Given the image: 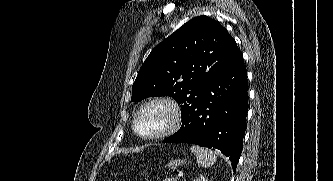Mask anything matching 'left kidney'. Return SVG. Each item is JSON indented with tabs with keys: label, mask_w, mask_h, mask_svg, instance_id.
Listing matches in <instances>:
<instances>
[{
	"label": "left kidney",
	"mask_w": 333,
	"mask_h": 181,
	"mask_svg": "<svg viewBox=\"0 0 333 181\" xmlns=\"http://www.w3.org/2000/svg\"><path fill=\"white\" fill-rule=\"evenodd\" d=\"M193 181H208L204 176H199Z\"/></svg>",
	"instance_id": "5707ae66"
}]
</instances>
